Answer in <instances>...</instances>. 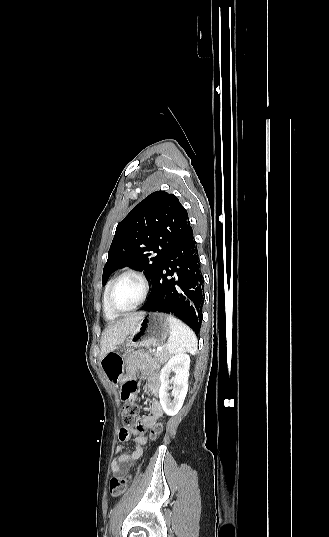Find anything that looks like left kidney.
Segmentation results:
<instances>
[{"instance_id":"1","label":"left kidney","mask_w":329,"mask_h":537,"mask_svg":"<svg viewBox=\"0 0 329 537\" xmlns=\"http://www.w3.org/2000/svg\"><path fill=\"white\" fill-rule=\"evenodd\" d=\"M190 357L187 354H178L170 357L160 373L161 386L159 388V399L163 411L168 416L176 415L182 408L188 390ZM175 376L169 380L170 373ZM173 383V399H169L168 391Z\"/></svg>"}]
</instances>
